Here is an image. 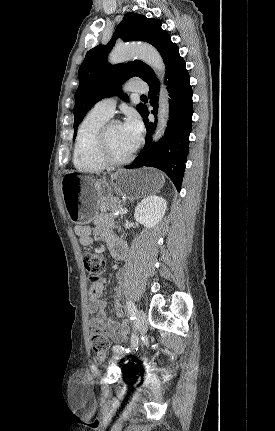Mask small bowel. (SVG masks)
Masks as SVG:
<instances>
[{
    "label": "small bowel",
    "mask_w": 275,
    "mask_h": 431,
    "mask_svg": "<svg viewBox=\"0 0 275 431\" xmlns=\"http://www.w3.org/2000/svg\"><path fill=\"white\" fill-rule=\"evenodd\" d=\"M96 233L107 244L111 255L117 260H123L127 255L126 243L113 235L112 226L105 219L98 220L95 226ZM75 233L79 236V241L83 246H89L92 243V229L86 225H77ZM105 281L99 280L91 285L89 289V307L91 315L89 319L90 327L100 328L105 335L114 343H124L128 338V325L125 321L119 319L123 316L121 303L116 299L112 309L114 317L109 318L105 312V301L102 299Z\"/></svg>",
    "instance_id": "small-bowel-1"
}]
</instances>
